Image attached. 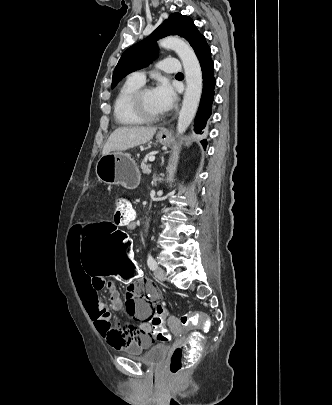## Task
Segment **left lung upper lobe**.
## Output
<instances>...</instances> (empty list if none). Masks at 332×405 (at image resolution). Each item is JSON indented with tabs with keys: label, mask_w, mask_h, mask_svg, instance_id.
I'll list each match as a JSON object with an SVG mask.
<instances>
[{
	"label": "left lung upper lobe",
	"mask_w": 332,
	"mask_h": 405,
	"mask_svg": "<svg viewBox=\"0 0 332 405\" xmlns=\"http://www.w3.org/2000/svg\"><path fill=\"white\" fill-rule=\"evenodd\" d=\"M168 35H179L185 38L196 55L207 45L205 37L200 34L190 17L173 13L147 38L134 44L122 54L113 73L112 88L129 73L150 64L157 54L156 41Z\"/></svg>",
	"instance_id": "1"
}]
</instances>
